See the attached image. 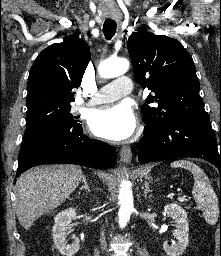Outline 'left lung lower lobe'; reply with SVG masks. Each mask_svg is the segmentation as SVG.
I'll list each match as a JSON object with an SVG mask.
<instances>
[{
  "label": "left lung lower lobe",
  "mask_w": 221,
  "mask_h": 256,
  "mask_svg": "<svg viewBox=\"0 0 221 256\" xmlns=\"http://www.w3.org/2000/svg\"><path fill=\"white\" fill-rule=\"evenodd\" d=\"M138 149L141 163L197 157L210 161L221 174V152L209 116L179 119L162 127L145 125Z\"/></svg>",
  "instance_id": "left-lung-lower-lobe-1"
}]
</instances>
